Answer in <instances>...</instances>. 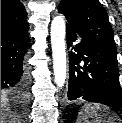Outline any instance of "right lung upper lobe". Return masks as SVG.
I'll use <instances>...</instances> for the list:
<instances>
[{
	"label": "right lung upper lobe",
	"mask_w": 122,
	"mask_h": 123,
	"mask_svg": "<svg viewBox=\"0 0 122 123\" xmlns=\"http://www.w3.org/2000/svg\"><path fill=\"white\" fill-rule=\"evenodd\" d=\"M7 27L18 30L29 28L27 12L19 0H1V29Z\"/></svg>",
	"instance_id": "cb5924a9"
}]
</instances>
